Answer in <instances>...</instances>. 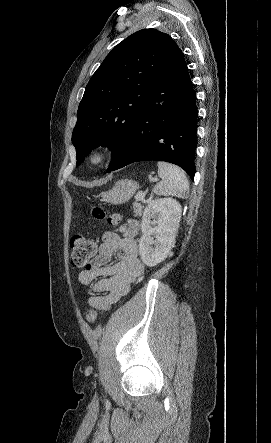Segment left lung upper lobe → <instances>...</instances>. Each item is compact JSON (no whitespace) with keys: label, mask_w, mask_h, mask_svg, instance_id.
Returning <instances> with one entry per match:
<instances>
[{"label":"left lung upper lobe","mask_w":271,"mask_h":443,"mask_svg":"<svg viewBox=\"0 0 271 443\" xmlns=\"http://www.w3.org/2000/svg\"><path fill=\"white\" fill-rule=\"evenodd\" d=\"M178 50L156 29H143L115 46L88 82L72 133L77 165L100 145L113 151L108 171L124 151L127 137L145 109L147 89Z\"/></svg>","instance_id":"1"}]
</instances>
